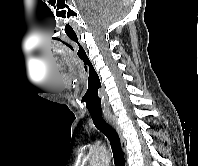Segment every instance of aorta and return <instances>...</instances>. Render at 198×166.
Wrapping results in <instances>:
<instances>
[{
  "instance_id": "aorta-1",
  "label": "aorta",
  "mask_w": 198,
  "mask_h": 166,
  "mask_svg": "<svg viewBox=\"0 0 198 166\" xmlns=\"http://www.w3.org/2000/svg\"><path fill=\"white\" fill-rule=\"evenodd\" d=\"M110 160L109 152H99L93 157L90 166H109Z\"/></svg>"
}]
</instances>
